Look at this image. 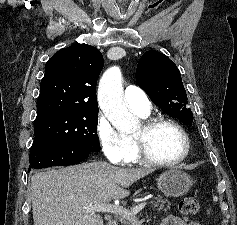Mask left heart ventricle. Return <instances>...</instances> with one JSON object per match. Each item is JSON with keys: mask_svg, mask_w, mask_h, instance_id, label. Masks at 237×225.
Here are the masks:
<instances>
[{"mask_svg": "<svg viewBox=\"0 0 237 225\" xmlns=\"http://www.w3.org/2000/svg\"><path fill=\"white\" fill-rule=\"evenodd\" d=\"M133 136H142V126L134 131ZM149 152L160 160H174L182 155L185 143L180 133L169 125H160L144 135Z\"/></svg>", "mask_w": 237, "mask_h": 225, "instance_id": "1", "label": "left heart ventricle"}]
</instances>
